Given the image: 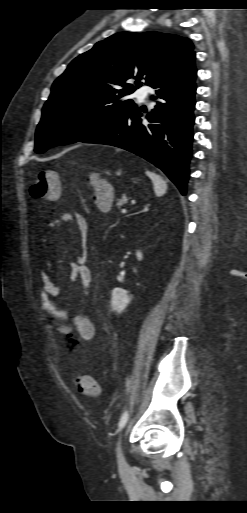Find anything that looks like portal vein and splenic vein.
Instances as JSON below:
<instances>
[{
	"label": "portal vein and splenic vein",
	"mask_w": 247,
	"mask_h": 513,
	"mask_svg": "<svg viewBox=\"0 0 247 513\" xmlns=\"http://www.w3.org/2000/svg\"><path fill=\"white\" fill-rule=\"evenodd\" d=\"M121 213H122V214H126V213H127V210H126V209H122V210H121Z\"/></svg>",
	"instance_id": "obj_1"
}]
</instances>
